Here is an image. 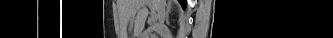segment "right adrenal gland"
Here are the masks:
<instances>
[{"mask_svg":"<svg viewBox=\"0 0 333 38\" xmlns=\"http://www.w3.org/2000/svg\"><path fill=\"white\" fill-rule=\"evenodd\" d=\"M171 12V2L169 1L168 4L166 5V19L169 18V14Z\"/></svg>","mask_w":333,"mask_h":38,"instance_id":"1","label":"right adrenal gland"}]
</instances>
